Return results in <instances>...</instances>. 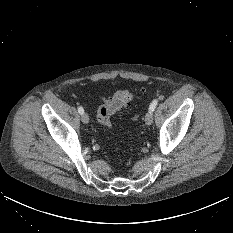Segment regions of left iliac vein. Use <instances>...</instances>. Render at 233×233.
Masks as SVG:
<instances>
[{
    "label": "left iliac vein",
    "mask_w": 233,
    "mask_h": 233,
    "mask_svg": "<svg viewBox=\"0 0 233 233\" xmlns=\"http://www.w3.org/2000/svg\"><path fill=\"white\" fill-rule=\"evenodd\" d=\"M153 122V114H152V111H148L145 115V123L147 125H151Z\"/></svg>",
    "instance_id": "4c4485c4"
}]
</instances>
